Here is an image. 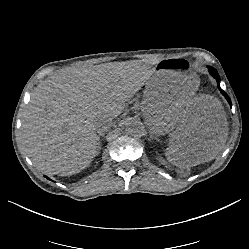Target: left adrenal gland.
<instances>
[{
    "mask_svg": "<svg viewBox=\"0 0 249 249\" xmlns=\"http://www.w3.org/2000/svg\"><path fill=\"white\" fill-rule=\"evenodd\" d=\"M151 140H155L157 143H159V140H157L156 138H154L153 136H150V141Z\"/></svg>",
    "mask_w": 249,
    "mask_h": 249,
    "instance_id": "1",
    "label": "left adrenal gland"
}]
</instances>
